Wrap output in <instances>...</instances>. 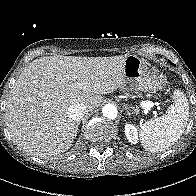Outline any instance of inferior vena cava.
Wrapping results in <instances>:
<instances>
[{"instance_id": "inferior-vena-cava-1", "label": "inferior vena cava", "mask_w": 196, "mask_h": 196, "mask_svg": "<svg viewBox=\"0 0 196 196\" xmlns=\"http://www.w3.org/2000/svg\"><path fill=\"white\" fill-rule=\"evenodd\" d=\"M88 112L87 106L84 104L75 103L68 108V115L77 122L81 120L85 113Z\"/></svg>"}]
</instances>
